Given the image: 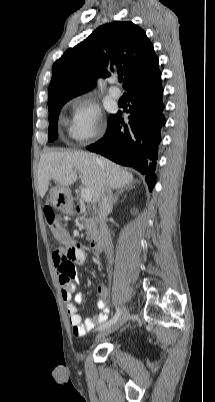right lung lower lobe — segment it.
<instances>
[{
	"mask_svg": "<svg viewBox=\"0 0 215 402\" xmlns=\"http://www.w3.org/2000/svg\"><path fill=\"white\" fill-rule=\"evenodd\" d=\"M162 93L161 76L130 89L127 93L131 102L127 111L129 122H124L122 112L110 115L104 137L88 146L92 152L140 171L146 176L150 191L155 184L160 131L166 123Z\"/></svg>",
	"mask_w": 215,
	"mask_h": 402,
	"instance_id": "obj_1",
	"label": "right lung lower lobe"
}]
</instances>
